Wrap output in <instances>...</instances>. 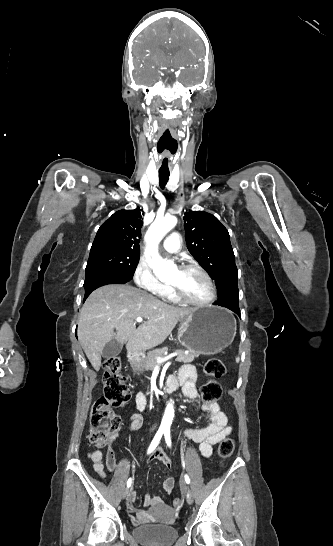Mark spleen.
Listing matches in <instances>:
<instances>
[{"mask_svg": "<svg viewBox=\"0 0 333 546\" xmlns=\"http://www.w3.org/2000/svg\"><path fill=\"white\" fill-rule=\"evenodd\" d=\"M236 362H239V358H238V357L236 358Z\"/></svg>", "mask_w": 333, "mask_h": 546, "instance_id": "1", "label": "spleen"}]
</instances>
